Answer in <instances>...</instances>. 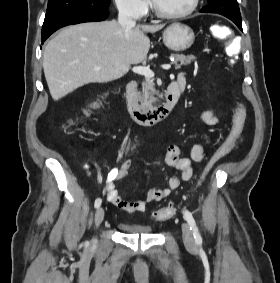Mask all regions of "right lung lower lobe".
Masks as SVG:
<instances>
[{
  "label": "right lung lower lobe",
  "mask_w": 280,
  "mask_h": 283,
  "mask_svg": "<svg viewBox=\"0 0 280 283\" xmlns=\"http://www.w3.org/2000/svg\"><path fill=\"white\" fill-rule=\"evenodd\" d=\"M109 16V12L103 14H90V13H61L45 18L42 27V38L44 41L56 30L67 25H73L84 22L103 21Z\"/></svg>",
  "instance_id": "1"
}]
</instances>
